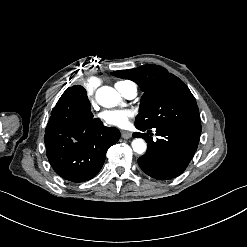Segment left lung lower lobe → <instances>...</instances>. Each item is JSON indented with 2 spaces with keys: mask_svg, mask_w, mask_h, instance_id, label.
Here are the masks:
<instances>
[{
  "mask_svg": "<svg viewBox=\"0 0 247 247\" xmlns=\"http://www.w3.org/2000/svg\"><path fill=\"white\" fill-rule=\"evenodd\" d=\"M148 134H133L148 143V150L138 159L140 168L157 180L172 179L182 174L197 150L200 136L176 128H156V135L160 136L157 141H153Z\"/></svg>",
  "mask_w": 247,
  "mask_h": 247,
  "instance_id": "obj_1",
  "label": "left lung lower lobe"
}]
</instances>
